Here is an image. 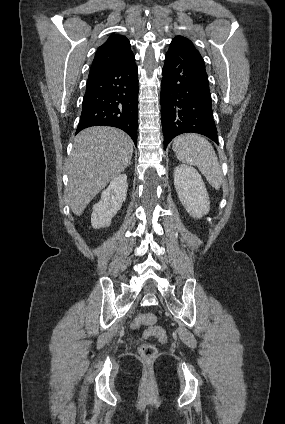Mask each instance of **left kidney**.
<instances>
[{"instance_id": "1", "label": "left kidney", "mask_w": 285, "mask_h": 424, "mask_svg": "<svg viewBox=\"0 0 285 424\" xmlns=\"http://www.w3.org/2000/svg\"><path fill=\"white\" fill-rule=\"evenodd\" d=\"M174 186L178 197L190 216L201 218L210 210L209 195L198 171L188 165L174 169Z\"/></svg>"}]
</instances>
